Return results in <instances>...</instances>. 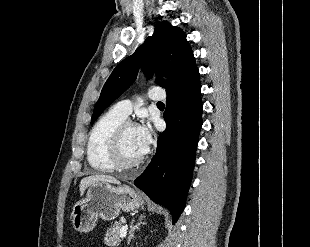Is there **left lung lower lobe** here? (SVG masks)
<instances>
[{
	"mask_svg": "<svg viewBox=\"0 0 310 247\" xmlns=\"http://www.w3.org/2000/svg\"><path fill=\"white\" fill-rule=\"evenodd\" d=\"M157 152L134 184L151 200L168 208L175 224L185 207L202 126L201 83L198 68L167 92Z\"/></svg>",
	"mask_w": 310,
	"mask_h": 247,
	"instance_id": "left-lung-lower-lobe-1",
	"label": "left lung lower lobe"
}]
</instances>
